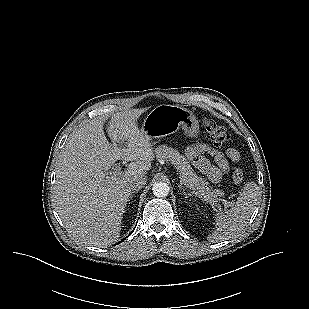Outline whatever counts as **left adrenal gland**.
<instances>
[{
  "label": "left adrenal gland",
  "mask_w": 309,
  "mask_h": 309,
  "mask_svg": "<svg viewBox=\"0 0 309 309\" xmlns=\"http://www.w3.org/2000/svg\"><path fill=\"white\" fill-rule=\"evenodd\" d=\"M179 188H180L181 190H183V194L187 197L186 189L184 188V186H183L181 183L179 184ZM188 195H191V194L188 193Z\"/></svg>",
  "instance_id": "a2214340"
}]
</instances>
